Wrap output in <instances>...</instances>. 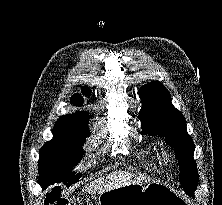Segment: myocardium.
I'll list each match as a JSON object with an SVG mask.
<instances>
[{"instance_id": "myocardium-1", "label": "myocardium", "mask_w": 222, "mask_h": 205, "mask_svg": "<svg viewBox=\"0 0 222 205\" xmlns=\"http://www.w3.org/2000/svg\"><path fill=\"white\" fill-rule=\"evenodd\" d=\"M162 157L164 159H168L169 158V153L167 151L162 152Z\"/></svg>"}]
</instances>
